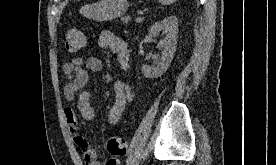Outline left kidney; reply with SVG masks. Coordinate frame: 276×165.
Masks as SVG:
<instances>
[{
  "mask_svg": "<svg viewBox=\"0 0 276 165\" xmlns=\"http://www.w3.org/2000/svg\"><path fill=\"white\" fill-rule=\"evenodd\" d=\"M160 32L165 34V38L161 40L158 47L162 50L160 61L152 66L142 65V73L146 78H157L163 75L171 61L173 60L178 35V19L176 16H169L162 21L156 22L149 30V37L155 38Z\"/></svg>",
  "mask_w": 276,
  "mask_h": 165,
  "instance_id": "1",
  "label": "left kidney"
}]
</instances>
